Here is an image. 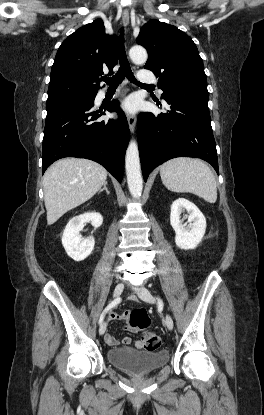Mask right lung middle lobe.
<instances>
[{"instance_id": "1", "label": "right lung middle lobe", "mask_w": 264, "mask_h": 415, "mask_svg": "<svg viewBox=\"0 0 264 415\" xmlns=\"http://www.w3.org/2000/svg\"><path fill=\"white\" fill-rule=\"evenodd\" d=\"M95 96L96 95H67L58 98L48 99L46 102V107L69 102H88L92 101L95 98Z\"/></svg>"}]
</instances>
